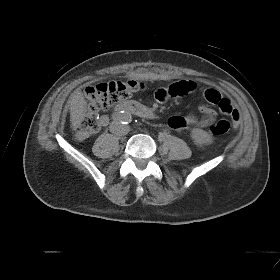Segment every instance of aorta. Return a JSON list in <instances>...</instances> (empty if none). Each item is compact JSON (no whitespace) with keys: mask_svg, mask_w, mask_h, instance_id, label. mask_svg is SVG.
<instances>
[{"mask_svg":"<svg viewBox=\"0 0 280 280\" xmlns=\"http://www.w3.org/2000/svg\"><path fill=\"white\" fill-rule=\"evenodd\" d=\"M119 120L122 123H127L131 120V114L126 111H122L119 116Z\"/></svg>","mask_w":280,"mask_h":280,"instance_id":"1","label":"aorta"}]
</instances>
